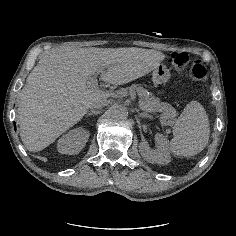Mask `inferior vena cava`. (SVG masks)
Instances as JSON below:
<instances>
[{
    "label": "inferior vena cava",
    "instance_id": "obj_1",
    "mask_svg": "<svg viewBox=\"0 0 236 236\" xmlns=\"http://www.w3.org/2000/svg\"><path fill=\"white\" fill-rule=\"evenodd\" d=\"M106 105H108L107 100L101 102L100 104H98V105H96V106H94V107H91V106H90V108H101V107L106 106Z\"/></svg>",
    "mask_w": 236,
    "mask_h": 236
}]
</instances>
